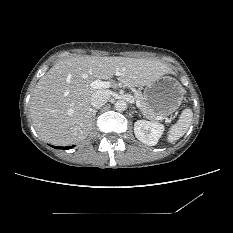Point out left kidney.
Returning <instances> with one entry per match:
<instances>
[{"label":"left kidney","instance_id":"1","mask_svg":"<svg viewBox=\"0 0 233 233\" xmlns=\"http://www.w3.org/2000/svg\"><path fill=\"white\" fill-rule=\"evenodd\" d=\"M164 125L147 120H138L134 124V134L146 145L154 146L164 132Z\"/></svg>","mask_w":233,"mask_h":233}]
</instances>
